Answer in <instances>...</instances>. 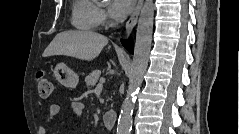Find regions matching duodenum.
I'll list each match as a JSON object with an SVG mask.
<instances>
[{
  "mask_svg": "<svg viewBox=\"0 0 239 134\" xmlns=\"http://www.w3.org/2000/svg\"><path fill=\"white\" fill-rule=\"evenodd\" d=\"M116 118L117 117H116V113L114 110L106 111L102 118L105 127L108 129L113 128L116 123Z\"/></svg>",
  "mask_w": 239,
  "mask_h": 134,
  "instance_id": "410a0bca",
  "label": "duodenum"
}]
</instances>
